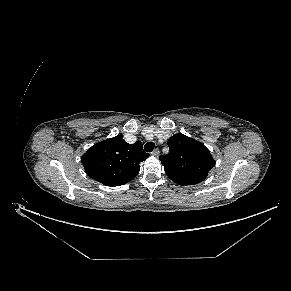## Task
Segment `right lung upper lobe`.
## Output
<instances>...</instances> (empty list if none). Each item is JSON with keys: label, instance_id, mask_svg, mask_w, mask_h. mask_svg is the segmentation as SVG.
I'll return each instance as SVG.
<instances>
[{"label": "right lung upper lobe", "instance_id": "1", "mask_svg": "<svg viewBox=\"0 0 291 291\" xmlns=\"http://www.w3.org/2000/svg\"><path fill=\"white\" fill-rule=\"evenodd\" d=\"M148 156L140 141L128 144L122 135H118L93 145L82 156L81 162L92 179L106 186H119L137 176L139 163Z\"/></svg>", "mask_w": 291, "mask_h": 291}]
</instances>
